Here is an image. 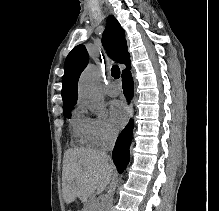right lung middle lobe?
<instances>
[{
	"label": "right lung middle lobe",
	"instance_id": "1",
	"mask_svg": "<svg viewBox=\"0 0 219 211\" xmlns=\"http://www.w3.org/2000/svg\"><path fill=\"white\" fill-rule=\"evenodd\" d=\"M75 103L65 104L63 105V115L67 118L71 117V111L74 107Z\"/></svg>",
	"mask_w": 219,
	"mask_h": 211
}]
</instances>
